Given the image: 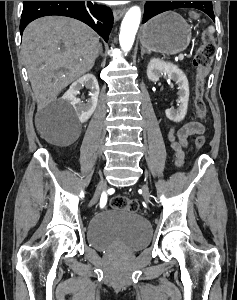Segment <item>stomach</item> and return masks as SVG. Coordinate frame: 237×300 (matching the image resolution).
Segmentation results:
<instances>
[{"label": "stomach", "mask_w": 237, "mask_h": 300, "mask_svg": "<svg viewBox=\"0 0 237 300\" xmlns=\"http://www.w3.org/2000/svg\"><path fill=\"white\" fill-rule=\"evenodd\" d=\"M191 37L190 25L174 11H167L154 17L143 25L140 31L141 45L145 49L165 55H176L180 51H185Z\"/></svg>", "instance_id": "1"}]
</instances>
